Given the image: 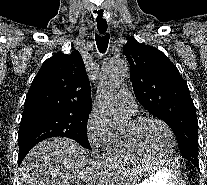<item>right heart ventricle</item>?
<instances>
[{"mask_svg": "<svg viewBox=\"0 0 207 185\" xmlns=\"http://www.w3.org/2000/svg\"><path fill=\"white\" fill-rule=\"evenodd\" d=\"M104 156L111 162L121 164L148 161L146 157L130 147L123 131H113L104 145Z\"/></svg>", "mask_w": 207, "mask_h": 185, "instance_id": "obj_1", "label": "right heart ventricle"}]
</instances>
